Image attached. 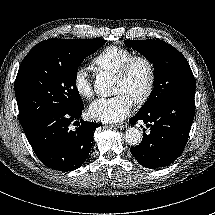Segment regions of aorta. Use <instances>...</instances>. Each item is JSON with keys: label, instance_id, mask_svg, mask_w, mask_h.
<instances>
[{"label": "aorta", "instance_id": "1", "mask_svg": "<svg viewBox=\"0 0 215 215\" xmlns=\"http://www.w3.org/2000/svg\"><path fill=\"white\" fill-rule=\"evenodd\" d=\"M107 74L99 73L95 78V90L102 96L109 95V85L107 84ZM124 141L129 145H139L142 141V132L138 128H128L125 133Z\"/></svg>", "mask_w": 215, "mask_h": 215}]
</instances>
